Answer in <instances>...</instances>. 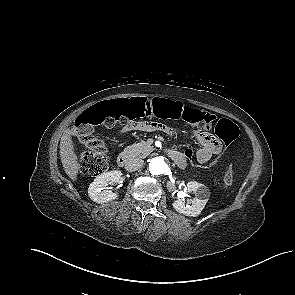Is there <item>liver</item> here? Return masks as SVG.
I'll return each mask as SVG.
<instances>
[{"mask_svg":"<svg viewBox=\"0 0 295 295\" xmlns=\"http://www.w3.org/2000/svg\"><path fill=\"white\" fill-rule=\"evenodd\" d=\"M72 134L73 131L68 130L61 137L60 158L65 173L69 176L70 179L75 181L80 169V164L78 163V157L74 151V145L71 138Z\"/></svg>","mask_w":295,"mask_h":295,"instance_id":"6515ba94","label":"liver"}]
</instances>
